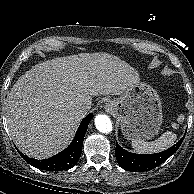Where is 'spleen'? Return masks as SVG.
<instances>
[{
  "instance_id": "spleen-1",
  "label": "spleen",
  "mask_w": 194,
  "mask_h": 194,
  "mask_svg": "<svg viewBox=\"0 0 194 194\" xmlns=\"http://www.w3.org/2000/svg\"><path fill=\"white\" fill-rule=\"evenodd\" d=\"M184 119H185L184 115L180 114L177 118V122L182 123ZM172 127L176 129L177 127H179V124L173 122ZM176 139L177 135L175 133L167 131L164 134H162L157 140L151 142H146L141 139H133L132 147L136 152L139 153H155L163 151L168 147L172 146Z\"/></svg>"
}]
</instances>
